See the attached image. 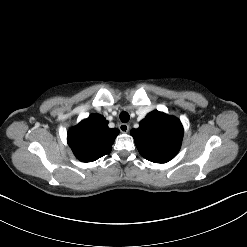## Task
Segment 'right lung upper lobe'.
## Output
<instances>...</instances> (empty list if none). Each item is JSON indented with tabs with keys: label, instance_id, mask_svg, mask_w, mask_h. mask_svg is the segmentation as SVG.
<instances>
[{
	"label": "right lung upper lobe",
	"instance_id": "right-lung-upper-lobe-1",
	"mask_svg": "<svg viewBox=\"0 0 247 247\" xmlns=\"http://www.w3.org/2000/svg\"><path fill=\"white\" fill-rule=\"evenodd\" d=\"M118 129L108 127V121L99 114H92L72 127L67 141L74 155L82 162H92L112 150Z\"/></svg>",
	"mask_w": 247,
	"mask_h": 247
}]
</instances>
